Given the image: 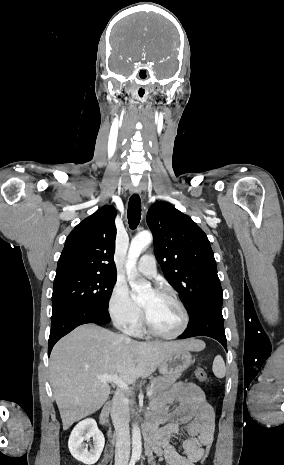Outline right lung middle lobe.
<instances>
[{
	"mask_svg": "<svg viewBox=\"0 0 284 465\" xmlns=\"http://www.w3.org/2000/svg\"><path fill=\"white\" fill-rule=\"evenodd\" d=\"M117 277L74 274L54 279L52 316L72 306L108 310Z\"/></svg>",
	"mask_w": 284,
	"mask_h": 465,
	"instance_id": "dd1d6c3e",
	"label": "right lung middle lobe"
}]
</instances>
